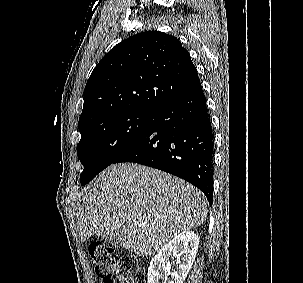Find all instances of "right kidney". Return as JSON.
<instances>
[{
	"instance_id": "right-kidney-1",
	"label": "right kidney",
	"mask_w": 303,
	"mask_h": 283,
	"mask_svg": "<svg viewBox=\"0 0 303 283\" xmlns=\"http://www.w3.org/2000/svg\"><path fill=\"white\" fill-rule=\"evenodd\" d=\"M198 245L199 237L195 232L184 231L177 234L152 258L147 274L148 283H160L162 271H165L166 276H171L168 283H183L195 260ZM171 256L177 258V267L172 271L168 261Z\"/></svg>"
}]
</instances>
